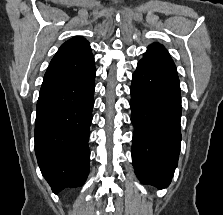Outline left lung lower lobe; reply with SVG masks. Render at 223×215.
I'll return each instance as SVG.
<instances>
[{
    "label": "left lung lower lobe",
    "mask_w": 223,
    "mask_h": 215,
    "mask_svg": "<svg viewBox=\"0 0 223 215\" xmlns=\"http://www.w3.org/2000/svg\"><path fill=\"white\" fill-rule=\"evenodd\" d=\"M132 162L141 183L168 187L181 144V90L176 68L140 60L132 76Z\"/></svg>",
    "instance_id": "left-lung-lower-lobe-1"
}]
</instances>
